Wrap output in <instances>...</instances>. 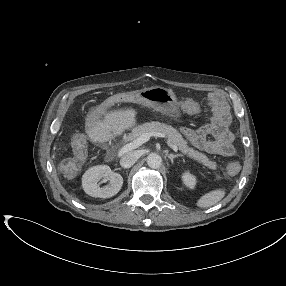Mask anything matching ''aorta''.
<instances>
[{"label":"aorta","instance_id":"obj_1","mask_svg":"<svg viewBox=\"0 0 286 286\" xmlns=\"http://www.w3.org/2000/svg\"><path fill=\"white\" fill-rule=\"evenodd\" d=\"M147 164L150 168L157 169L162 164V158L157 153H150L147 156Z\"/></svg>","mask_w":286,"mask_h":286}]
</instances>
